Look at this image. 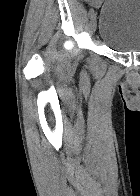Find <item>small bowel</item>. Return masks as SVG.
<instances>
[{
	"mask_svg": "<svg viewBox=\"0 0 140 196\" xmlns=\"http://www.w3.org/2000/svg\"><path fill=\"white\" fill-rule=\"evenodd\" d=\"M92 1H94L95 3H99L101 0H92Z\"/></svg>",
	"mask_w": 140,
	"mask_h": 196,
	"instance_id": "c3829d8e",
	"label": "small bowel"
}]
</instances>
